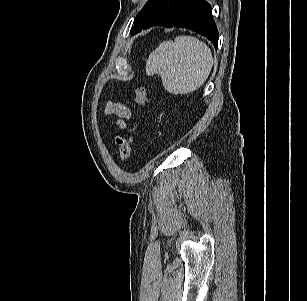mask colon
<instances>
[{
    "mask_svg": "<svg viewBox=\"0 0 307 301\" xmlns=\"http://www.w3.org/2000/svg\"><path fill=\"white\" fill-rule=\"evenodd\" d=\"M133 98L138 106L145 107L149 103V92L145 87L140 86L134 91ZM116 143L119 146L120 159L122 161L127 160L132 151V135L118 134L116 136Z\"/></svg>",
    "mask_w": 307,
    "mask_h": 301,
    "instance_id": "obj_1",
    "label": "colon"
}]
</instances>
